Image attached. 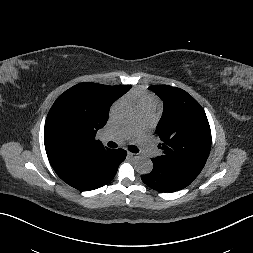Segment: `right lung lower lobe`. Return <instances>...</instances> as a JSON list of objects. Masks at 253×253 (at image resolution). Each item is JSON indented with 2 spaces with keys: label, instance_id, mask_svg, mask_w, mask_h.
I'll return each instance as SVG.
<instances>
[{
  "label": "right lung lower lobe",
  "instance_id": "obj_1",
  "mask_svg": "<svg viewBox=\"0 0 253 253\" xmlns=\"http://www.w3.org/2000/svg\"><path fill=\"white\" fill-rule=\"evenodd\" d=\"M125 158V150L108 149L89 157L71 160L53 169L70 186L80 191H90L109 183Z\"/></svg>",
  "mask_w": 253,
  "mask_h": 253
}]
</instances>
